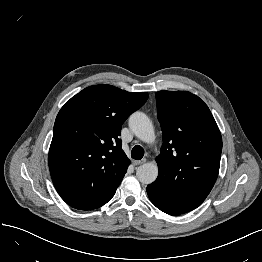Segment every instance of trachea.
Masks as SVG:
<instances>
[{"mask_svg":"<svg viewBox=\"0 0 262 262\" xmlns=\"http://www.w3.org/2000/svg\"><path fill=\"white\" fill-rule=\"evenodd\" d=\"M131 156L133 159L140 160L144 156V149L140 145H136L132 148Z\"/></svg>","mask_w":262,"mask_h":262,"instance_id":"3493384b","label":"trachea"}]
</instances>
